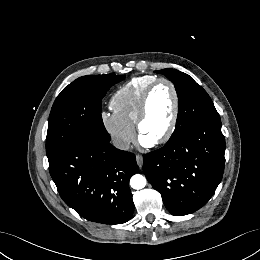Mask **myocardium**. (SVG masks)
Listing matches in <instances>:
<instances>
[{
  "label": "myocardium",
  "instance_id": "myocardium-1",
  "mask_svg": "<svg viewBox=\"0 0 260 260\" xmlns=\"http://www.w3.org/2000/svg\"><path fill=\"white\" fill-rule=\"evenodd\" d=\"M160 84H166L170 87L173 97H174V108H173V113L171 117L170 124L166 130V132L157 140L153 142V144L159 145L167 142L170 140V138L173 136L175 129L177 127L178 119H179V112H180V97L178 90L174 83L170 81L169 79L166 78H157L146 90L145 94L143 95L137 120H136V129L138 134L141 136V126L142 123L148 113V107H149V102L151 95L153 94L154 90L159 86Z\"/></svg>",
  "mask_w": 260,
  "mask_h": 260
}]
</instances>
